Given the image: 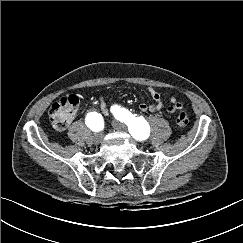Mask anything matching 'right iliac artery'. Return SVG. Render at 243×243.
Wrapping results in <instances>:
<instances>
[{
    "label": "right iliac artery",
    "instance_id": "obj_1",
    "mask_svg": "<svg viewBox=\"0 0 243 243\" xmlns=\"http://www.w3.org/2000/svg\"><path fill=\"white\" fill-rule=\"evenodd\" d=\"M86 125L92 130V131H99L101 130L103 126V118L101 114H98L97 112H90L86 116Z\"/></svg>",
    "mask_w": 243,
    "mask_h": 243
}]
</instances>
